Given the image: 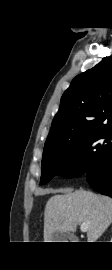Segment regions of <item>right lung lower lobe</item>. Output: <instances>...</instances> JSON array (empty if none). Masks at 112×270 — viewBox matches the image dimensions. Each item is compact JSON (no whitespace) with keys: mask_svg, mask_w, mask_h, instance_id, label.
I'll list each match as a JSON object with an SVG mask.
<instances>
[{"mask_svg":"<svg viewBox=\"0 0 112 270\" xmlns=\"http://www.w3.org/2000/svg\"><path fill=\"white\" fill-rule=\"evenodd\" d=\"M87 181L98 192L112 197V149L98 170L86 173Z\"/></svg>","mask_w":112,"mask_h":270,"instance_id":"obj_1","label":"right lung lower lobe"}]
</instances>
